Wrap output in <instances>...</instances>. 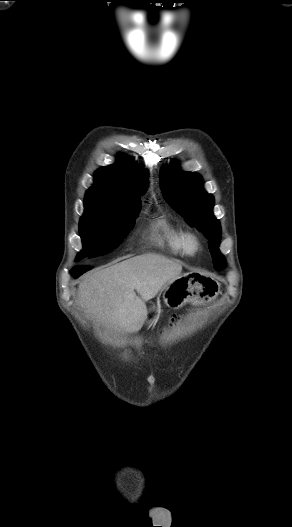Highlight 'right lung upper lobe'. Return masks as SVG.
Wrapping results in <instances>:
<instances>
[{
  "mask_svg": "<svg viewBox=\"0 0 292 527\" xmlns=\"http://www.w3.org/2000/svg\"><path fill=\"white\" fill-rule=\"evenodd\" d=\"M148 185V173L134 161L120 155L115 165L103 167L95 173V185L86 193L109 203L133 205L140 203V195Z\"/></svg>",
  "mask_w": 292,
  "mask_h": 527,
  "instance_id": "right-lung-upper-lobe-1",
  "label": "right lung upper lobe"
}]
</instances>
